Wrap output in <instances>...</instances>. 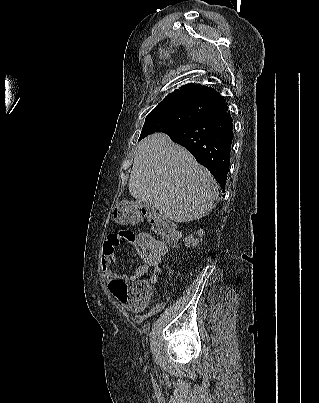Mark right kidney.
Here are the masks:
<instances>
[{"label": "right kidney", "mask_w": 319, "mask_h": 403, "mask_svg": "<svg viewBox=\"0 0 319 403\" xmlns=\"http://www.w3.org/2000/svg\"><path fill=\"white\" fill-rule=\"evenodd\" d=\"M196 234L198 235V238H194L193 235H189L184 239L186 247H197L202 242V237L205 234L204 231L200 229L196 232Z\"/></svg>", "instance_id": "obj_1"}]
</instances>
